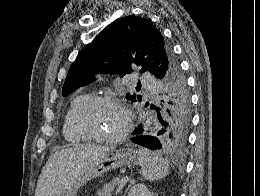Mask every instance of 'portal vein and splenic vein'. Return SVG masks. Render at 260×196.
Returning <instances> with one entry per match:
<instances>
[{
    "instance_id": "1",
    "label": "portal vein and splenic vein",
    "mask_w": 260,
    "mask_h": 196,
    "mask_svg": "<svg viewBox=\"0 0 260 196\" xmlns=\"http://www.w3.org/2000/svg\"><path fill=\"white\" fill-rule=\"evenodd\" d=\"M129 179H130L129 175H124L123 179L120 182L119 187H117V190L123 191L124 190V185H125L126 182H128Z\"/></svg>"
}]
</instances>
